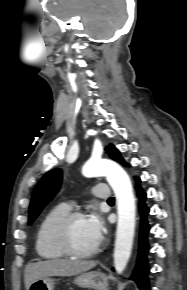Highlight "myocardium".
Returning a JSON list of instances; mask_svg holds the SVG:
<instances>
[{"mask_svg": "<svg viewBox=\"0 0 187 290\" xmlns=\"http://www.w3.org/2000/svg\"><path fill=\"white\" fill-rule=\"evenodd\" d=\"M86 214L83 211L75 210L69 211L56 224L54 229V236L56 243L60 250L67 256L73 258H88L95 255L100 249V242L89 250L77 249L73 242L71 231L76 220L85 218Z\"/></svg>", "mask_w": 187, "mask_h": 290, "instance_id": "1", "label": "myocardium"}]
</instances>
